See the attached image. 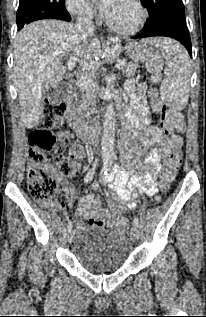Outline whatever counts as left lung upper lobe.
Instances as JSON below:
<instances>
[{
    "instance_id": "5c2ea615",
    "label": "left lung upper lobe",
    "mask_w": 206,
    "mask_h": 317,
    "mask_svg": "<svg viewBox=\"0 0 206 317\" xmlns=\"http://www.w3.org/2000/svg\"><path fill=\"white\" fill-rule=\"evenodd\" d=\"M140 1L142 5L148 9L150 16L149 20L145 23L144 28L166 20H175L186 23L182 0Z\"/></svg>"
}]
</instances>
